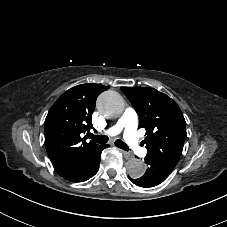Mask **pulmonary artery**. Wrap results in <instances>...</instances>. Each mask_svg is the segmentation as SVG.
Instances as JSON below:
<instances>
[{"instance_id":"e3ab8cb5","label":"pulmonary artery","mask_w":227,"mask_h":227,"mask_svg":"<svg viewBox=\"0 0 227 227\" xmlns=\"http://www.w3.org/2000/svg\"><path fill=\"white\" fill-rule=\"evenodd\" d=\"M138 113L132 108L128 107L118 121L117 132L123 131V140L126 147L133 154H140L143 151V144L139 141L137 131Z\"/></svg>"}]
</instances>
